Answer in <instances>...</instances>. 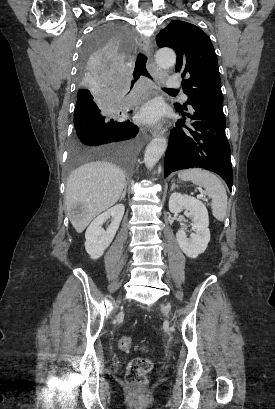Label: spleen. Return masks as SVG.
I'll list each match as a JSON object with an SVG mask.
<instances>
[{
    "label": "spleen",
    "mask_w": 275,
    "mask_h": 409,
    "mask_svg": "<svg viewBox=\"0 0 275 409\" xmlns=\"http://www.w3.org/2000/svg\"><path fill=\"white\" fill-rule=\"evenodd\" d=\"M181 180H191L194 184L204 186L206 194L212 198L211 209L212 215L218 221H224L227 211V192L220 178H217L213 172L209 170H201V168H188L181 170L178 174Z\"/></svg>",
    "instance_id": "1"
}]
</instances>
